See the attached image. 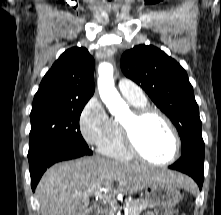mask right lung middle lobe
Masks as SVG:
<instances>
[{"label":"right lung middle lobe","instance_id":"obj_1","mask_svg":"<svg viewBox=\"0 0 221 215\" xmlns=\"http://www.w3.org/2000/svg\"><path fill=\"white\" fill-rule=\"evenodd\" d=\"M86 103L48 101L32 105L28 158L57 144L87 145L79 128Z\"/></svg>","mask_w":221,"mask_h":215}]
</instances>
